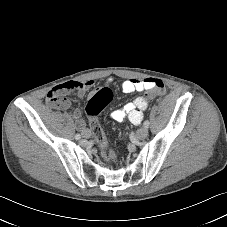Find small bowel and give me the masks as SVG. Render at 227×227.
<instances>
[{
  "label": "small bowel",
  "mask_w": 227,
  "mask_h": 227,
  "mask_svg": "<svg viewBox=\"0 0 227 227\" xmlns=\"http://www.w3.org/2000/svg\"><path fill=\"white\" fill-rule=\"evenodd\" d=\"M113 81L112 77L106 79V84H111ZM78 84L77 88H70L69 85ZM152 84V79H128L122 83V90L125 93L141 92L146 89H150ZM94 86L93 80H87L84 82H66L51 90L48 94L49 102L56 108L66 110L71 106L70 101L63 97V95L70 93L72 90L78 91V96L81 98L84 96L85 92ZM52 91H55L58 96L53 99L50 94ZM148 98L146 96H139L135 98L132 102L125 104L122 108L117 109L110 114V118L114 121L121 122L123 120H128L134 125H138L143 120V111L148 106ZM73 117L77 122L78 127L80 128L82 134L86 131H89L85 122L82 118V112L79 109H76L73 112Z\"/></svg>",
  "instance_id": "c3829d8e"
}]
</instances>
